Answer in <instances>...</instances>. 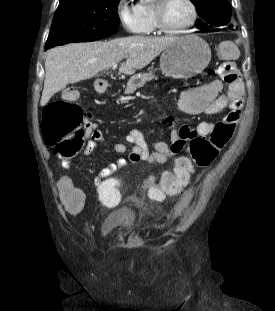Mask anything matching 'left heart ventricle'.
Wrapping results in <instances>:
<instances>
[{
	"label": "left heart ventricle",
	"instance_id": "1",
	"mask_svg": "<svg viewBox=\"0 0 275 311\" xmlns=\"http://www.w3.org/2000/svg\"><path fill=\"white\" fill-rule=\"evenodd\" d=\"M190 18L191 10L185 0H169L163 9V21L169 29L183 27Z\"/></svg>",
	"mask_w": 275,
	"mask_h": 311
}]
</instances>
